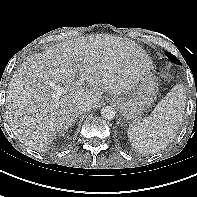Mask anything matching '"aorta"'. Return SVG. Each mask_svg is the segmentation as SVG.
Returning a JSON list of instances; mask_svg holds the SVG:
<instances>
[{"instance_id":"obj_1","label":"aorta","mask_w":197,"mask_h":197,"mask_svg":"<svg viewBox=\"0 0 197 197\" xmlns=\"http://www.w3.org/2000/svg\"><path fill=\"white\" fill-rule=\"evenodd\" d=\"M116 111L111 106H106L101 109V116L105 120H113L115 118Z\"/></svg>"}]
</instances>
